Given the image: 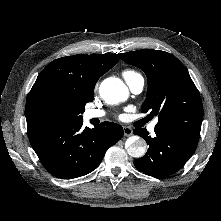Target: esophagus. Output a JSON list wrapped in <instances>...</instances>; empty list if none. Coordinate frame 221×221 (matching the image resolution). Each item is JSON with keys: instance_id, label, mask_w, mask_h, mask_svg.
Here are the masks:
<instances>
[{"instance_id": "esophagus-1", "label": "esophagus", "mask_w": 221, "mask_h": 221, "mask_svg": "<svg viewBox=\"0 0 221 221\" xmlns=\"http://www.w3.org/2000/svg\"><path fill=\"white\" fill-rule=\"evenodd\" d=\"M123 132H124V135L127 137H129L133 134L132 128H130L128 126L123 127Z\"/></svg>"}]
</instances>
